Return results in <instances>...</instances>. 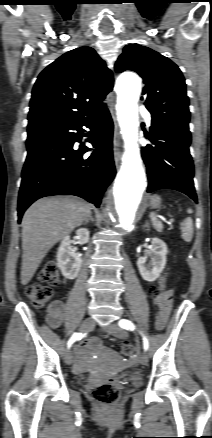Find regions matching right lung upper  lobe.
Returning a JSON list of instances; mask_svg holds the SVG:
<instances>
[{
	"mask_svg": "<svg viewBox=\"0 0 212 438\" xmlns=\"http://www.w3.org/2000/svg\"><path fill=\"white\" fill-rule=\"evenodd\" d=\"M112 72L90 47L71 50L38 76L32 91L28 128L52 121H80L105 108Z\"/></svg>",
	"mask_w": 212,
	"mask_h": 438,
	"instance_id": "cb5924a9",
	"label": "right lung upper lobe"
}]
</instances>
